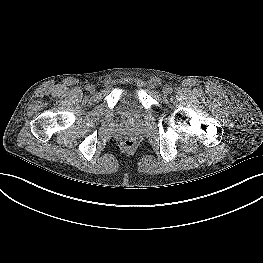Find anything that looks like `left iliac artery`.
<instances>
[{"label":"left iliac artery","instance_id":"left-iliac-artery-1","mask_svg":"<svg viewBox=\"0 0 263 263\" xmlns=\"http://www.w3.org/2000/svg\"><path fill=\"white\" fill-rule=\"evenodd\" d=\"M168 89H169V93H172L173 91L172 87H168Z\"/></svg>","mask_w":263,"mask_h":263}]
</instances>
